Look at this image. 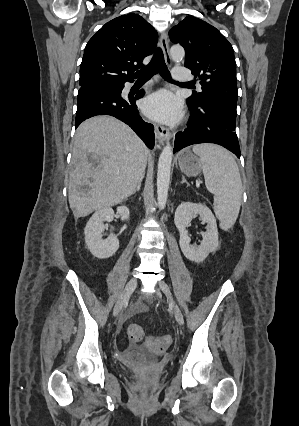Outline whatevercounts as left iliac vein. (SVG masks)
<instances>
[{"instance_id": "1", "label": "left iliac vein", "mask_w": 299, "mask_h": 426, "mask_svg": "<svg viewBox=\"0 0 299 426\" xmlns=\"http://www.w3.org/2000/svg\"><path fill=\"white\" fill-rule=\"evenodd\" d=\"M158 288L170 299L175 319L178 322V324L183 325L184 324L183 314H182L179 306L177 305V303L173 299V296H172V293H171V290H170L168 284L164 281H159L158 282Z\"/></svg>"}]
</instances>
